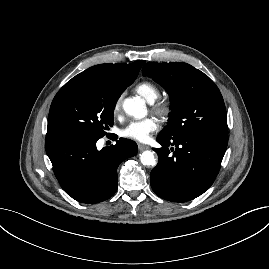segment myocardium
Instances as JSON below:
<instances>
[{
  "label": "myocardium",
  "instance_id": "myocardium-1",
  "mask_svg": "<svg viewBox=\"0 0 269 269\" xmlns=\"http://www.w3.org/2000/svg\"><path fill=\"white\" fill-rule=\"evenodd\" d=\"M152 112L162 119H167L172 112V105L168 100H160L153 105Z\"/></svg>",
  "mask_w": 269,
  "mask_h": 269
}]
</instances>
